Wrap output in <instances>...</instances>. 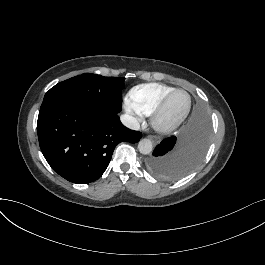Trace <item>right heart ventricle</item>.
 Returning <instances> with one entry per match:
<instances>
[{"mask_svg": "<svg viewBox=\"0 0 265 265\" xmlns=\"http://www.w3.org/2000/svg\"><path fill=\"white\" fill-rule=\"evenodd\" d=\"M173 90L174 88L159 84L139 86L131 93L132 103L140 114L152 116L163 98Z\"/></svg>", "mask_w": 265, "mask_h": 265, "instance_id": "e07e8e85", "label": "right heart ventricle"}]
</instances>
